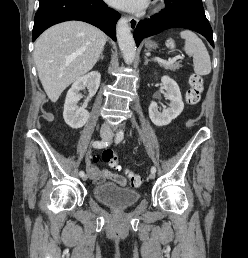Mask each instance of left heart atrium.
Returning <instances> with one entry per match:
<instances>
[{
  "mask_svg": "<svg viewBox=\"0 0 248 258\" xmlns=\"http://www.w3.org/2000/svg\"><path fill=\"white\" fill-rule=\"evenodd\" d=\"M107 2L114 7L133 12L141 11L148 4V0H107Z\"/></svg>",
  "mask_w": 248,
  "mask_h": 258,
  "instance_id": "left-heart-atrium-1",
  "label": "left heart atrium"
}]
</instances>
